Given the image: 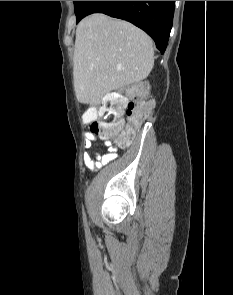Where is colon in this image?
Wrapping results in <instances>:
<instances>
[{"label": "colon", "mask_w": 233, "mask_h": 295, "mask_svg": "<svg viewBox=\"0 0 233 295\" xmlns=\"http://www.w3.org/2000/svg\"><path fill=\"white\" fill-rule=\"evenodd\" d=\"M144 90L143 84L132 85L106 96L100 107L89 108L84 118L91 132L119 147L130 145L151 111V103L142 98Z\"/></svg>", "instance_id": "1"}]
</instances>
